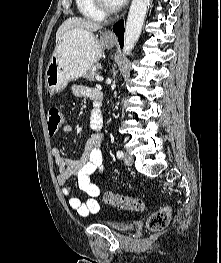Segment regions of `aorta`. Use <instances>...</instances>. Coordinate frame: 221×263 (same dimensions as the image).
Here are the masks:
<instances>
[{"label": "aorta", "mask_w": 221, "mask_h": 263, "mask_svg": "<svg viewBox=\"0 0 221 263\" xmlns=\"http://www.w3.org/2000/svg\"><path fill=\"white\" fill-rule=\"evenodd\" d=\"M151 0H132L125 26L123 53L128 54L138 41Z\"/></svg>", "instance_id": "762f6f07"}]
</instances>
